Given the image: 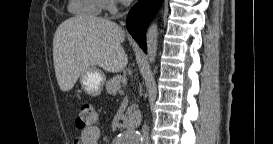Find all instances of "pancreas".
I'll list each match as a JSON object with an SVG mask.
<instances>
[{
    "label": "pancreas",
    "instance_id": "pancreas-1",
    "mask_svg": "<svg viewBox=\"0 0 273 144\" xmlns=\"http://www.w3.org/2000/svg\"><path fill=\"white\" fill-rule=\"evenodd\" d=\"M122 84H126V78L122 77L120 75H116L112 79H109L106 82V85H105L106 91L109 94L114 95L120 90ZM131 109H132V107H131Z\"/></svg>",
    "mask_w": 273,
    "mask_h": 144
}]
</instances>
